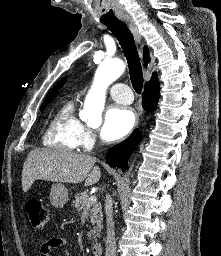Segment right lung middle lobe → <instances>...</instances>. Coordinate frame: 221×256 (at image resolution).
<instances>
[{"mask_svg":"<svg viewBox=\"0 0 221 256\" xmlns=\"http://www.w3.org/2000/svg\"><path fill=\"white\" fill-rule=\"evenodd\" d=\"M53 97H54V95H52L44 100L43 105L41 106V110H43L45 108L46 104H48L52 100Z\"/></svg>","mask_w":221,"mask_h":256,"instance_id":"dd1d6c3e","label":"right lung middle lobe"}]
</instances>
